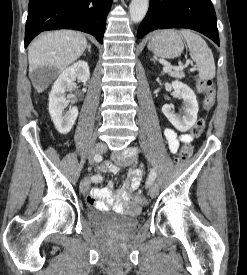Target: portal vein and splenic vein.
Masks as SVG:
<instances>
[{"label":"portal vein and splenic vein","instance_id":"obj_1","mask_svg":"<svg viewBox=\"0 0 247 275\" xmlns=\"http://www.w3.org/2000/svg\"><path fill=\"white\" fill-rule=\"evenodd\" d=\"M185 67H186V65H183V64H180L177 67L167 66V67L163 68V71L166 72V73L172 71V69L179 71V70H183ZM191 70H193V69H191Z\"/></svg>","mask_w":247,"mask_h":275}]
</instances>
